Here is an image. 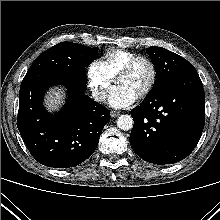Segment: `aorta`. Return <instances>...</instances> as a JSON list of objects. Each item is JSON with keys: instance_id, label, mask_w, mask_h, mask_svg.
<instances>
[{"instance_id": "1", "label": "aorta", "mask_w": 220, "mask_h": 220, "mask_svg": "<svg viewBox=\"0 0 220 220\" xmlns=\"http://www.w3.org/2000/svg\"><path fill=\"white\" fill-rule=\"evenodd\" d=\"M133 118L130 115H121L117 119V126L119 129L128 131L133 127Z\"/></svg>"}]
</instances>
